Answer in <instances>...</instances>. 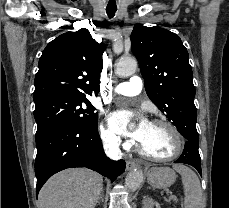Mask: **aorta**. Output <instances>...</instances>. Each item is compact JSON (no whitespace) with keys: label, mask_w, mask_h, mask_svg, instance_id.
Wrapping results in <instances>:
<instances>
[{"label":"aorta","mask_w":229,"mask_h":208,"mask_svg":"<svg viewBox=\"0 0 229 208\" xmlns=\"http://www.w3.org/2000/svg\"><path fill=\"white\" fill-rule=\"evenodd\" d=\"M137 62L131 58L120 59L116 66V74L120 77H128L136 72ZM143 182V173L140 170L131 171L125 179V186L130 191H136Z\"/></svg>","instance_id":"762f6f07"}]
</instances>
